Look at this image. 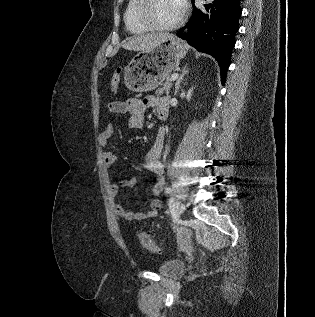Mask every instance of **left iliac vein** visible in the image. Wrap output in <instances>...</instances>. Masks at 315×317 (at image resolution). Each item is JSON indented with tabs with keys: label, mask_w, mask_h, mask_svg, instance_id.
I'll return each instance as SVG.
<instances>
[{
	"label": "left iliac vein",
	"mask_w": 315,
	"mask_h": 317,
	"mask_svg": "<svg viewBox=\"0 0 315 317\" xmlns=\"http://www.w3.org/2000/svg\"><path fill=\"white\" fill-rule=\"evenodd\" d=\"M184 211H185V205L180 200L176 201V203H175L176 216L178 218L181 217V215L183 214Z\"/></svg>",
	"instance_id": "4c4485c4"
}]
</instances>
